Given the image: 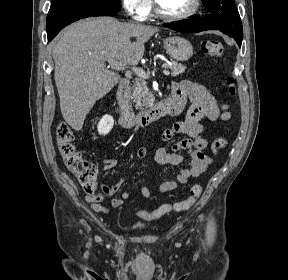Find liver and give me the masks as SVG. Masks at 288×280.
<instances>
[{
    "label": "liver",
    "mask_w": 288,
    "mask_h": 280,
    "mask_svg": "<svg viewBox=\"0 0 288 280\" xmlns=\"http://www.w3.org/2000/svg\"><path fill=\"white\" fill-rule=\"evenodd\" d=\"M157 31V27L112 17L87 18L65 30L52 55L61 113L73 129L81 130L96 101L120 80L118 73L106 69V59L137 65L144 55V43ZM132 37L135 42L130 41Z\"/></svg>",
    "instance_id": "liver-1"
}]
</instances>
